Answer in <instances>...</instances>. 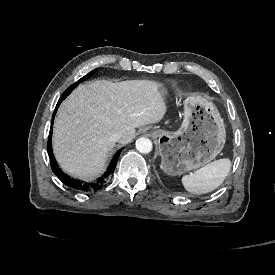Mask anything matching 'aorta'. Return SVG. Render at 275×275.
Here are the masks:
<instances>
[{"label": "aorta", "mask_w": 275, "mask_h": 275, "mask_svg": "<svg viewBox=\"0 0 275 275\" xmlns=\"http://www.w3.org/2000/svg\"><path fill=\"white\" fill-rule=\"evenodd\" d=\"M136 149L140 153H144V154L151 152L152 150L151 140L145 137L139 138L138 140H136Z\"/></svg>", "instance_id": "aorta-1"}]
</instances>
